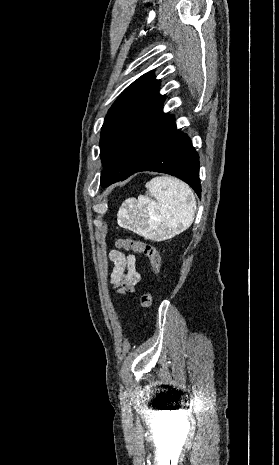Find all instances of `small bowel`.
Returning a JSON list of instances; mask_svg holds the SVG:
<instances>
[{"label": "small bowel", "mask_w": 279, "mask_h": 465, "mask_svg": "<svg viewBox=\"0 0 279 465\" xmlns=\"http://www.w3.org/2000/svg\"><path fill=\"white\" fill-rule=\"evenodd\" d=\"M109 260L113 263L110 282L115 292L123 295L132 294L141 279L136 257L111 250Z\"/></svg>", "instance_id": "small-bowel-1"}]
</instances>
